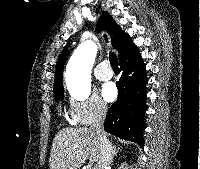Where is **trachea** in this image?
<instances>
[{
    "mask_svg": "<svg viewBox=\"0 0 200 169\" xmlns=\"http://www.w3.org/2000/svg\"><path fill=\"white\" fill-rule=\"evenodd\" d=\"M105 39L107 40L106 36ZM109 60H110V64L112 66V69L114 71H118L119 67H118V58L116 56V54L114 52H110L109 53Z\"/></svg>",
    "mask_w": 200,
    "mask_h": 169,
    "instance_id": "obj_1",
    "label": "trachea"
}]
</instances>
